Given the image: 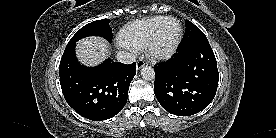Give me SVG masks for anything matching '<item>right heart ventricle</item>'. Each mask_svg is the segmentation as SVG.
Returning a JSON list of instances; mask_svg holds the SVG:
<instances>
[{
  "label": "right heart ventricle",
  "instance_id": "e07e8e85",
  "mask_svg": "<svg viewBox=\"0 0 276 138\" xmlns=\"http://www.w3.org/2000/svg\"><path fill=\"white\" fill-rule=\"evenodd\" d=\"M166 18L167 16H155L127 25L119 36L120 43L134 50L147 47L155 30Z\"/></svg>",
  "mask_w": 276,
  "mask_h": 138
}]
</instances>
